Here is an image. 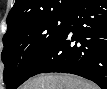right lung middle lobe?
Listing matches in <instances>:
<instances>
[{
    "label": "right lung middle lobe",
    "instance_id": "1",
    "mask_svg": "<svg viewBox=\"0 0 107 89\" xmlns=\"http://www.w3.org/2000/svg\"><path fill=\"white\" fill-rule=\"evenodd\" d=\"M70 19V12L40 16L8 26L3 37L4 81L15 89L34 76L42 60L57 43Z\"/></svg>",
    "mask_w": 107,
    "mask_h": 89
}]
</instances>
